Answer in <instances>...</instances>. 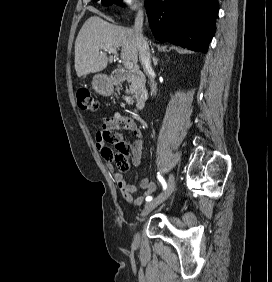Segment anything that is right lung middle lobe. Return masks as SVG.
Segmentation results:
<instances>
[{
	"label": "right lung middle lobe",
	"instance_id": "obj_1",
	"mask_svg": "<svg viewBox=\"0 0 272 282\" xmlns=\"http://www.w3.org/2000/svg\"><path fill=\"white\" fill-rule=\"evenodd\" d=\"M96 1H98V0H96ZM121 1L122 0H102V3L104 5H111V4H118V5H120Z\"/></svg>",
	"mask_w": 272,
	"mask_h": 282
}]
</instances>
